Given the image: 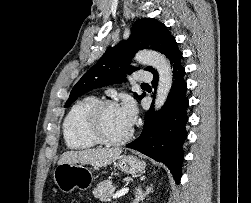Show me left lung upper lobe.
Returning a JSON list of instances; mask_svg holds the SVG:
<instances>
[{
	"label": "left lung upper lobe",
	"mask_w": 251,
	"mask_h": 203,
	"mask_svg": "<svg viewBox=\"0 0 251 203\" xmlns=\"http://www.w3.org/2000/svg\"><path fill=\"white\" fill-rule=\"evenodd\" d=\"M173 40L175 38L163 23L153 18L136 20L128 40L109 47L100 60L81 77L73 87L65 107L87 91L121 83L126 73L131 74L139 69L130 65L131 58L139 50L155 49L166 55ZM145 70L154 71L152 67ZM144 96L145 94H142L138 98L142 99Z\"/></svg>",
	"instance_id": "left-lung-upper-lobe-1"
}]
</instances>
